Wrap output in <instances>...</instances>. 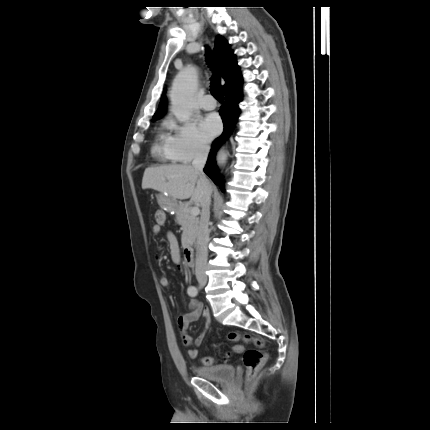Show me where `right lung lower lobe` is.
Instances as JSON below:
<instances>
[{
  "mask_svg": "<svg viewBox=\"0 0 430 430\" xmlns=\"http://www.w3.org/2000/svg\"><path fill=\"white\" fill-rule=\"evenodd\" d=\"M241 86L242 82L224 91L226 104L220 109V115L224 123V131L222 135L213 142L206 167L204 168V172L214 181V183L219 185L222 191H224V188L221 176L217 172L215 154L224 140L232 133L234 125L238 119V114L240 112L238 103L242 98L240 93Z\"/></svg>",
  "mask_w": 430,
  "mask_h": 430,
  "instance_id": "1",
  "label": "right lung lower lobe"
}]
</instances>
